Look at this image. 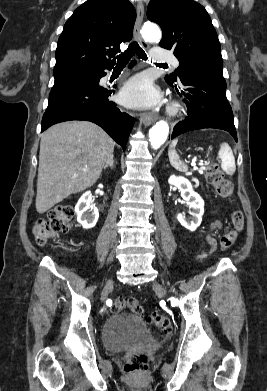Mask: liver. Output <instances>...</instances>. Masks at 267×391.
<instances>
[{"instance_id": "6515ba94", "label": "liver", "mask_w": 267, "mask_h": 391, "mask_svg": "<svg viewBox=\"0 0 267 391\" xmlns=\"http://www.w3.org/2000/svg\"><path fill=\"white\" fill-rule=\"evenodd\" d=\"M114 145L102 128L87 121L59 123L46 130L40 142L37 212L43 214L95 184L113 157Z\"/></svg>"}]
</instances>
